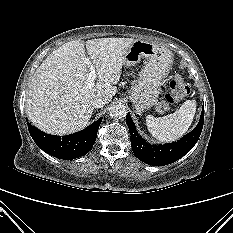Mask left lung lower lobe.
I'll use <instances>...</instances> for the list:
<instances>
[{
  "label": "left lung lower lobe",
  "instance_id": "obj_1",
  "mask_svg": "<svg viewBox=\"0 0 233 233\" xmlns=\"http://www.w3.org/2000/svg\"><path fill=\"white\" fill-rule=\"evenodd\" d=\"M126 122L130 131L131 146L134 155L142 162L163 166L171 164L187 154L198 141L204 123V106L197 126L177 142L164 145H152L147 143L137 132L135 124L128 113Z\"/></svg>",
  "mask_w": 233,
  "mask_h": 233
}]
</instances>
